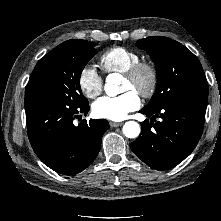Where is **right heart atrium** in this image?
Returning a JSON list of instances; mask_svg holds the SVG:
<instances>
[{"mask_svg": "<svg viewBox=\"0 0 221 221\" xmlns=\"http://www.w3.org/2000/svg\"><path fill=\"white\" fill-rule=\"evenodd\" d=\"M78 86L86 97L93 99L101 94L103 79L94 66L86 65L79 73Z\"/></svg>", "mask_w": 221, "mask_h": 221, "instance_id": "right-heart-atrium-1", "label": "right heart atrium"}]
</instances>
